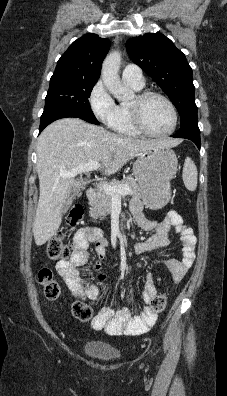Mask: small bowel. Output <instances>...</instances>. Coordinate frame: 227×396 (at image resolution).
I'll use <instances>...</instances> for the list:
<instances>
[{
    "label": "small bowel",
    "mask_w": 227,
    "mask_h": 396,
    "mask_svg": "<svg viewBox=\"0 0 227 396\" xmlns=\"http://www.w3.org/2000/svg\"><path fill=\"white\" fill-rule=\"evenodd\" d=\"M131 213L137 225L146 232H153L147 239L138 242L135 250L144 253L163 248L169 243L171 228L180 235L182 246L181 256L167 261L166 268L172 280L179 283L187 274L194 263L197 239L193 229L186 225L182 217L176 211H169L161 222L147 219L142 212V205L138 200L130 203ZM91 243L95 244L97 258L92 264L94 279L84 277L80 268L87 264V249ZM107 241L100 237L98 229L84 227L74 235V250L69 259L60 260L56 263L58 273L64 279L68 289L82 299L95 300L101 296L102 287L106 284L107 277L101 270L100 259L105 255ZM157 291L151 275L144 281L141 293L144 303L143 309L133 314L127 307L102 309L92 320L94 330H101L109 335H140L147 332L156 322L157 314L149 306Z\"/></svg>",
    "instance_id": "small-bowel-1"
}]
</instances>
